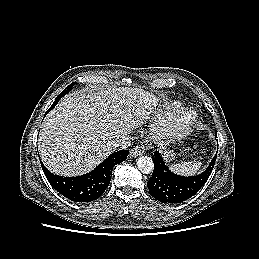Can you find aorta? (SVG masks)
Returning a JSON list of instances; mask_svg holds the SVG:
<instances>
[{"instance_id":"1","label":"aorta","mask_w":259,"mask_h":259,"mask_svg":"<svg viewBox=\"0 0 259 259\" xmlns=\"http://www.w3.org/2000/svg\"><path fill=\"white\" fill-rule=\"evenodd\" d=\"M136 165L140 172L144 174H149L153 171L154 164L150 157L148 156H141L136 160Z\"/></svg>"}]
</instances>
